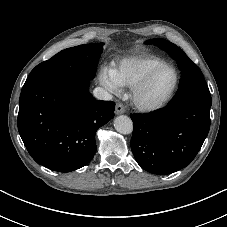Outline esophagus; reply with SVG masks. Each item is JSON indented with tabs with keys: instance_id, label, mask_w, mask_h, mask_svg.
Instances as JSON below:
<instances>
[{
	"instance_id": "34e87169",
	"label": "esophagus",
	"mask_w": 227,
	"mask_h": 227,
	"mask_svg": "<svg viewBox=\"0 0 227 227\" xmlns=\"http://www.w3.org/2000/svg\"><path fill=\"white\" fill-rule=\"evenodd\" d=\"M125 112H126V109H125L124 105L122 103L118 102L115 106V113L117 115H119V114H123Z\"/></svg>"
}]
</instances>
